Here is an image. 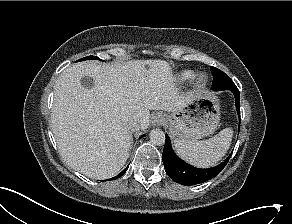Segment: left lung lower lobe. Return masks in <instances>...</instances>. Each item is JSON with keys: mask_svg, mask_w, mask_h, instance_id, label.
Returning a JSON list of instances; mask_svg holds the SVG:
<instances>
[{"mask_svg": "<svg viewBox=\"0 0 292 224\" xmlns=\"http://www.w3.org/2000/svg\"><path fill=\"white\" fill-rule=\"evenodd\" d=\"M222 90H230L235 96L236 109L240 117V93L236 85L223 87ZM230 156L220 165L210 169H198L180 159L172 150L170 139L166 134V143L162 154L166 173L177 183L190 186L208 181L216 177L226 166Z\"/></svg>", "mask_w": 292, "mask_h": 224, "instance_id": "0a47b994", "label": "left lung lower lobe"}]
</instances>
